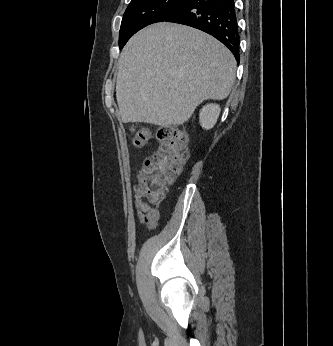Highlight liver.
Masks as SVG:
<instances>
[{
  "instance_id": "6515ba94",
  "label": "liver",
  "mask_w": 333,
  "mask_h": 346,
  "mask_svg": "<svg viewBox=\"0 0 333 346\" xmlns=\"http://www.w3.org/2000/svg\"><path fill=\"white\" fill-rule=\"evenodd\" d=\"M233 54L198 29L156 23L136 33L118 61L116 98L124 123L181 125L206 99L231 92Z\"/></svg>"
}]
</instances>
